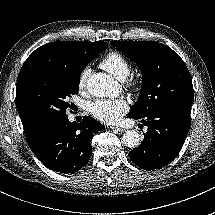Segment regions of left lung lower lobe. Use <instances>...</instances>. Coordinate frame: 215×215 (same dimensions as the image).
Listing matches in <instances>:
<instances>
[{
	"label": "left lung lower lobe",
	"mask_w": 215,
	"mask_h": 215,
	"mask_svg": "<svg viewBox=\"0 0 215 215\" xmlns=\"http://www.w3.org/2000/svg\"><path fill=\"white\" fill-rule=\"evenodd\" d=\"M192 104L161 108L145 118L148 127L138 148L129 152L131 161L144 170H154L168 165L181 150L190 128Z\"/></svg>",
	"instance_id": "0a47b994"
}]
</instances>
